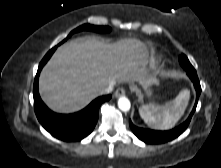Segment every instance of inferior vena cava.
<instances>
[{
  "mask_svg": "<svg viewBox=\"0 0 221 168\" xmlns=\"http://www.w3.org/2000/svg\"><path fill=\"white\" fill-rule=\"evenodd\" d=\"M113 88H114V85L113 84H110L108 86H106L105 88H103L101 91H100V94L103 95V94H109L113 91Z\"/></svg>",
  "mask_w": 221,
  "mask_h": 168,
  "instance_id": "inferior-vena-cava-1",
  "label": "inferior vena cava"
}]
</instances>
